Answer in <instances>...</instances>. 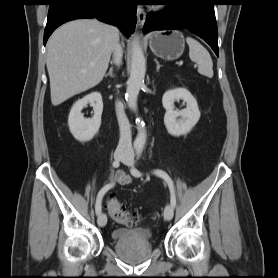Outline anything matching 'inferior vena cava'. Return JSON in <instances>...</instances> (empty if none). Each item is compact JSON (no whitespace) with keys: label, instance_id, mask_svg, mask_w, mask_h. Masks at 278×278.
<instances>
[{"label":"inferior vena cava","instance_id":"inferior-vena-cava-1","mask_svg":"<svg viewBox=\"0 0 278 278\" xmlns=\"http://www.w3.org/2000/svg\"><path fill=\"white\" fill-rule=\"evenodd\" d=\"M122 59V47L116 45L114 49V62L119 65ZM116 114L120 128V139L116 151L125 154H133L131 126L120 102H116Z\"/></svg>","mask_w":278,"mask_h":278}]
</instances>
